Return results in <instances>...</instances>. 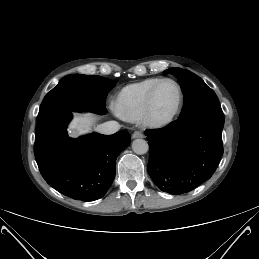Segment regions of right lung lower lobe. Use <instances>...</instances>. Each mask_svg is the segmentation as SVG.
<instances>
[{
	"label": "right lung lower lobe",
	"instance_id": "98d812e1",
	"mask_svg": "<svg viewBox=\"0 0 259 259\" xmlns=\"http://www.w3.org/2000/svg\"><path fill=\"white\" fill-rule=\"evenodd\" d=\"M72 111L37 121L34 154L43 178L63 195L80 201L103 197L115 177L116 158L130 144L127 131L93 133L77 141L67 136Z\"/></svg>",
	"mask_w": 259,
	"mask_h": 259
}]
</instances>
